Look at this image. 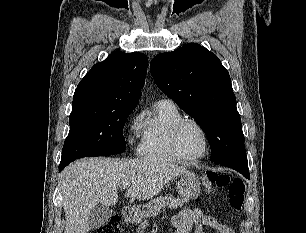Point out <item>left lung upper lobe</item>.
I'll return each instance as SVG.
<instances>
[{"label": "left lung upper lobe", "instance_id": "5c2ea615", "mask_svg": "<svg viewBox=\"0 0 306 233\" xmlns=\"http://www.w3.org/2000/svg\"><path fill=\"white\" fill-rule=\"evenodd\" d=\"M157 86L205 132L211 162L247 160L231 79L218 57L196 43L159 54L150 64Z\"/></svg>", "mask_w": 306, "mask_h": 233}]
</instances>
